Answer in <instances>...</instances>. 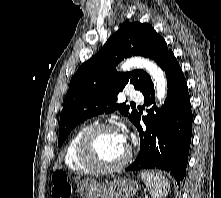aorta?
Wrapping results in <instances>:
<instances>
[{"instance_id":"762f6f07","label":"aorta","mask_w":221,"mask_h":198,"mask_svg":"<svg viewBox=\"0 0 221 198\" xmlns=\"http://www.w3.org/2000/svg\"><path fill=\"white\" fill-rule=\"evenodd\" d=\"M132 67L144 69L152 77L156 89L157 101L164 102L167 94V81L162 69L154 62L144 58H131L122 64L121 69L126 71Z\"/></svg>"}]
</instances>
